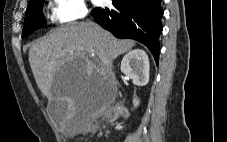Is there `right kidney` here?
I'll return each mask as SVG.
<instances>
[{"label": "right kidney", "instance_id": "obj_1", "mask_svg": "<svg viewBox=\"0 0 227 142\" xmlns=\"http://www.w3.org/2000/svg\"><path fill=\"white\" fill-rule=\"evenodd\" d=\"M121 71L134 85L145 86L149 81V59L146 52L141 49L128 52L121 61ZM133 105H139L137 98L133 99Z\"/></svg>", "mask_w": 227, "mask_h": 142}]
</instances>
